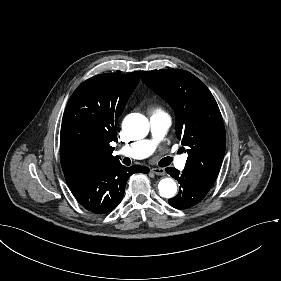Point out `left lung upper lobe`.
I'll return each mask as SVG.
<instances>
[{"label": "left lung upper lobe", "instance_id": "1", "mask_svg": "<svg viewBox=\"0 0 281 281\" xmlns=\"http://www.w3.org/2000/svg\"><path fill=\"white\" fill-rule=\"evenodd\" d=\"M141 78L175 111L176 134L188 153L185 169L213 184L224 158L226 135L209 89L196 76L180 69L142 71Z\"/></svg>", "mask_w": 281, "mask_h": 281}]
</instances>
